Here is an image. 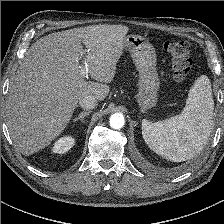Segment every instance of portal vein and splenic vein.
Instances as JSON below:
<instances>
[{"instance_id": "1", "label": "portal vein and splenic vein", "mask_w": 224, "mask_h": 224, "mask_svg": "<svg viewBox=\"0 0 224 224\" xmlns=\"http://www.w3.org/2000/svg\"><path fill=\"white\" fill-rule=\"evenodd\" d=\"M88 75V68L86 63H83V65L81 66V70H80V76L81 77H86Z\"/></svg>"}]
</instances>
